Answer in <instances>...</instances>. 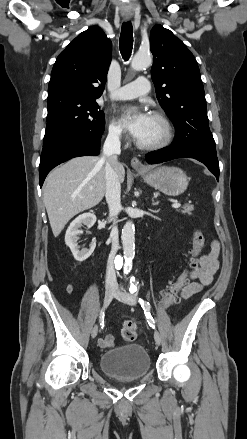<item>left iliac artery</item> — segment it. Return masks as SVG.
I'll list each match as a JSON object with an SVG mask.
<instances>
[{
    "label": "left iliac artery",
    "mask_w": 247,
    "mask_h": 439,
    "mask_svg": "<svg viewBox=\"0 0 247 439\" xmlns=\"http://www.w3.org/2000/svg\"><path fill=\"white\" fill-rule=\"evenodd\" d=\"M138 301H139L141 307L144 310V313L146 315V318L148 320L149 325L153 329H155V321H154V319L152 318V316L150 314V309H151L150 303L148 301H146V300L141 299V298H139Z\"/></svg>",
    "instance_id": "obj_1"
}]
</instances>
